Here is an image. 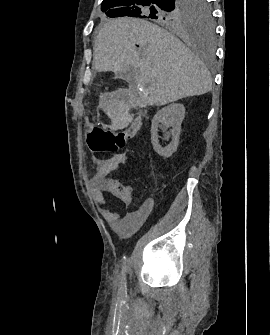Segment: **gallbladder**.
<instances>
[{"instance_id":"obj_1","label":"gallbladder","mask_w":270,"mask_h":335,"mask_svg":"<svg viewBox=\"0 0 270 335\" xmlns=\"http://www.w3.org/2000/svg\"><path fill=\"white\" fill-rule=\"evenodd\" d=\"M132 74L133 76H136L133 68H126V70H124V72H117V78H121V80H129V78H132Z\"/></svg>"}]
</instances>
